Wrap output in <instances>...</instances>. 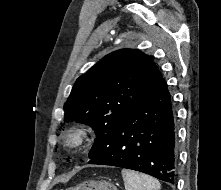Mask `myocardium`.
Returning <instances> with one entry per match:
<instances>
[{"label": "myocardium", "instance_id": "myocardium-1", "mask_svg": "<svg viewBox=\"0 0 221 190\" xmlns=\"http://www.w3.org/2000/svg\"><path fill=\"white\" fill-rule=\"evenodd\" d=\"M90 136L87 126L78 124L71 127L64 137L65 145L71 149H80L85 146Z\"/></svg>", "mask_w": 221, "mask_h": 190}]
</instances>
